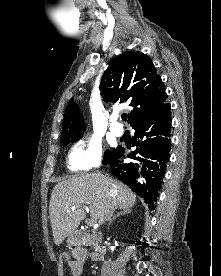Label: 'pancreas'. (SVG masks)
Instances as JSON below:
<instances>
[{"label":"pancreas","mask_w":221,"mask_h":276,"mask_svg":"<svg viewBox=\"0 0 221 276\" xmlns=\"http://www.w3.org/2000/svg\"><path fill=\"white\" fill-rule=\"evenodd\" d=\"M94 244V243H93ZM87 245H91V242L89 241L88 243H87Z\"/></svg>","instance_id":"obj_1"}]
</instances>
